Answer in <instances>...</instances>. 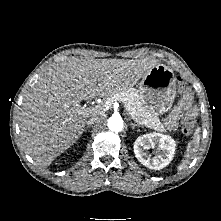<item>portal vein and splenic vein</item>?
<instances>
[{
	"instance_id": "obj_1",
	"label": "portal vein and splenic vein",
	"mask_w": 221,
	"mask_h": 221,
	"mask_svg": "<svg viewBox=\"0 0 221 221\" xmlns=\"http://www.w3.org/2000/svg\"><path fill=\"white\" fill-rule=\"evenodd\" d=\"M108 105H106V104L96 105L93 108L80 107L79 112L84 113V114H87V113H89V114H103L107 110Z\"/></svg>"
}]
</instances>
